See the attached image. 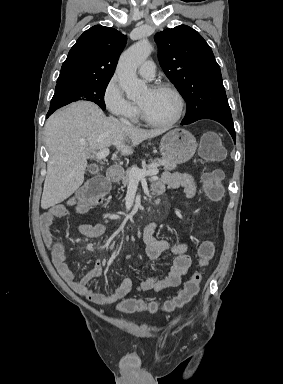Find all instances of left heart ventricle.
Here are the masks:
<instances>
[{"instance_id":"b2bd125f","label":"left heart ventricle","mask_w":283,"mask_h":384,"mask_svg":"<svg viewBox=\"0 0 283 384\" xmlns=\"http://www.w3.org/2000/svg\"><path fill=\"white\" fill-rule=\"evenodd\" d=\"M144 114L155 122H167L177 112L175 97L166 90H152L150 88L138 100Z\"/></svg>"}]
</instances>
